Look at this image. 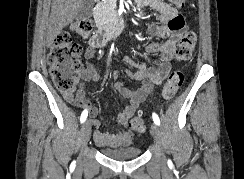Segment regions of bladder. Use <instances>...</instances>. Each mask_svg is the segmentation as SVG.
I'll use <instances>...</instances> for the list:
<instances>
[{
    "label": "bladder",
    "mask_w": 244,
    "mask_h": 179,
    "mask_svg": "<svg viewBox=\"0 0 244 179\" xmlns=\"http://www.w3.org/2000/svg\"><path fill=\"white\" fill-rule=\"evenodd\" d=\"M101 152L105 157L113 158L116 160H128L137 158L141 153V149L136 147H127L116 150L101 148Z\"/></svg>",
    "instance_id": "31cf9c89"
}]
</instances>
